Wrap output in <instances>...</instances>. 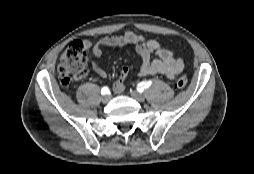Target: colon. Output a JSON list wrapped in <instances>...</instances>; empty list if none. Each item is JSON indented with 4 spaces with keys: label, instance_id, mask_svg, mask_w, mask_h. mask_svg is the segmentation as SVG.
Returning a JSON list of instances; mask_svg holds the SVG:
<instances>
[{
    "label": "colon",
    "instance_id": "5ec220e1",
    "mask_svg": "<svg viewBox=\"0 0 254 174\" xmlns=\"http://www.w3.org/2000/svg\"><path fill=\"white\" fill-rule=\"evenodd\" d=\"M88 54L82 41L76 40L68 45L63 52L58 68L57 78L62 87H68L73 78L87 70ZM187 86V78L180 76L177 79L176 87L184 89Z\"/></svg>",
    "mask_w": 254,
    "mask_h": 174
}]
</instances>
